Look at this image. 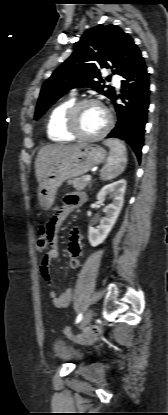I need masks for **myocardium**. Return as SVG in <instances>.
Returning a JSON list of instances; mask_svg holds the SVG:
<instances>
[{
    "label": "myocardium",
    "mask_w": 168,
    "mask_h": 415,
    "mask_svg": "<svg viewBox=\"0 0 168 415\" xmlns=\"http://www.w3.org/2000/svg\"><path fill=\"white\" fill-rule=\"evenodd\" d=\"M88 104H98L100 105L106 112L107 121L104 128L92 135H87L81 132L78 126V117L80 110L88 105ZM113 124V117L111 112L97 99L94 98H85L79 101H76L68 110L66 116V128L68 132L77 139L85 140V141H93L103 138L111 129Z\"/></svg>",
    "instance_id": "1"
}]
</instances>
